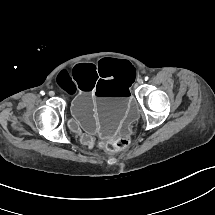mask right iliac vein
Segmentation results:
<instances>
[{"instance_id": "1", "label": "right iliac vein", "mask_w": 215, "mask_h": 215, "mask_svg": "<svg viewBox=\"0 0 215 215\" xmlns=\"http://www.w3.org/2000/svg\"><path fill=\"white\" fill-rule=\"evenodd\" d=\"M49 95H50V96H54V95H55V92H54V91H49Z\"/></svg>"}]
</instances>
